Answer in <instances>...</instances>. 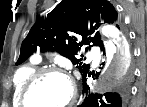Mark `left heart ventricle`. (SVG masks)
Listing matches in <instances>:
<instances>
[{"mask_svg": "<svg viewBox=\"0 0 147 107\" xmlns=\"http://www.w3.org/2000/svg\"><path fill=\"white\" fill-rule=\"evenodd\" d=\"M70 84L61 76L48 75L40 80L29 93L31 107H59L70 96Z\"/></svg>", "mask_w": 147, "mask_h": 107, "instance_id": "left-heart-ventricle-1", "label": "left heart ventricle"}]
</instances>
